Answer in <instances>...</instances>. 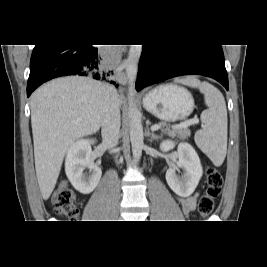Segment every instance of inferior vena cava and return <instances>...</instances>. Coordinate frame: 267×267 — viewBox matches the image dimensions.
Returning a JSON list of instances; mask_svg holds the SVG:
<instances>
[{
	"label": "inferior vena cava",
	"mask_w": 267,
	"mask_h": 267,
	"mask_svg": "<svg viewBox=\"0 0 267 267\" xmlns=\"http://www.w3.org/2000/svg\"><path fill=\"white\" fill-rule=\"evenodd\" d=\"M116 90L111 87H106V107L105 115L102 122V143L112 149L118 144L120 131V108Z\"/></svg>",
	"instance_id": "602c4592"
}]
</instances>
